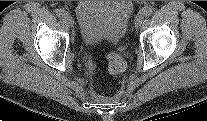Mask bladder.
Listing matches in <instances>:
<instances>
[{"mask_svg": "<svg viewBox=\"0 0 207 121\" xmlns=\"http://www.w3.org/2000/svg\"><path fill=\"white\" fill-rule=\"evenodd\" d=\"M75 13L85 45L115 44L127 31L133 4L131 1H80Z\"/></svg>", "mask_w": 207, "mask_h": 121, "instance_id": "bladder-1", "label": "bladder"}]
</instances>
